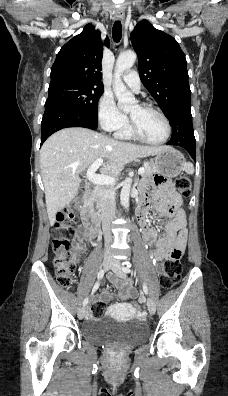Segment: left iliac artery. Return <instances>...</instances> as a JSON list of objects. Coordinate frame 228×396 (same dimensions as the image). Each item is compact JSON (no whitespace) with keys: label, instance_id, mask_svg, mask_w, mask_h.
Segmentation results:
<instances>
[{"label":"left iliac artery","instance_id":"left-iliac-artery-1","mask_svg":"<svg viewBox=\"0 0 228 396\" xmlns=\"http://www.w3.org/2000/svg\"><path fill=\"white\" fill-rule=\"evenodd\" d=\"M123 270L126 273H132V270L130 269V265L126 263V266L123 267ZM143 291L145 294H148V288L146 284H143Z\"/></svg>","mask_w":228,"mask_h":396}]
</instances>
